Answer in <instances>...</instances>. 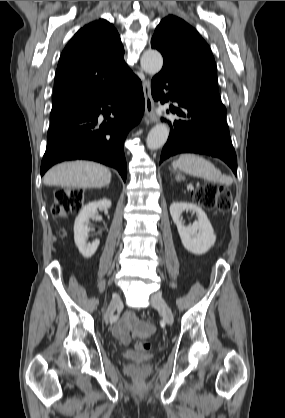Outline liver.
<instances>
[{
    "instance_id": "liver-1",
    "label": "liver",
    "mask_w": 285,
    "mask_h": 418,
    "mask_svg": "<svg viewBox=\"0 0 285 418\" xmlns=\"http://www.w3.org/2000/svg\"><path fill=\"white\" fill-rule=\"evenodd\" d=\"M43 182L46 186L101 188L110 184L111 172L94 162H65L51 168Z\"/></svg>"
}]
</instances>
